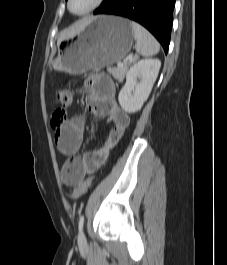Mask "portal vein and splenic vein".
Returning <instances> with one entry per match:
<instances>
[{"label": "portal vein and splenic vein", "instance_id": "portal-vein-and-splenic-vein-1", "mask_svg": "<svg viewBox=\"0 0 227 265\" xmlns=\"http://www.w3.org/2000/svg\"><path fill=\"white\" fill-rule=\"evenodd\" d=\"M128 60H129V61H133V60H134V57L131 56V57L128 58ZM123 66H124V62H120V61H119V62L117 63V67H123Z\"/></svg>", "mask_w": 227, "mask_h": 265}]
</instances>
